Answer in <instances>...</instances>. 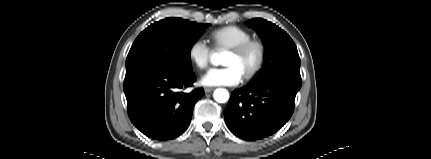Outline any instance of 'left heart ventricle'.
Masks as SVG:
<instances>
[{"label": "left heart ventricle", "mask_w": 431, "mask_h": 159, "mask_svg": "<svg viewBox=\"0 0 431 159\" xmlns=\"http://www.w3.org/2000/svg\"><path fill=\"white\" fill-rule=\"evenodd\" d=\"M256 57L257 55L255 51H251L242 57L236 56L235 54L228 52L224 59V64L226 66H236L243 75L254 66L256 62Z\"/></svg>", "instance_id": "obj_1"}]
</instances>
